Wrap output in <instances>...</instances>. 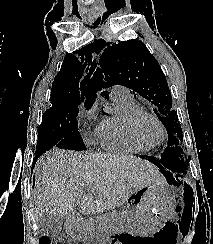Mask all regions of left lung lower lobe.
<instances>
[{
  "instance_id": "left-lung-lower-lobe-1",
  "label": "left lung lower lobe",
  "mask_w": 213,
  "mask_h": 244,
  "mask_svg": "<svg viewBox=\"0 0 213 244\" xmlns=\"http://www.w3.org/2000/svg\"><path fill=\"white\" fill-rule=\"evenodd\" d=\"M149 161L154 163L156 166H158L161 170V172L166 176L167 180L170 183H173L174 185H179L181 183L185 184V187L187 190H189V185L184 179L178 178L176 174L173 172V163L172 158L168 152H164L159 157H151L146 156ZM191 193H193L191 191Z\"/></svg>"
}]
</instances>
